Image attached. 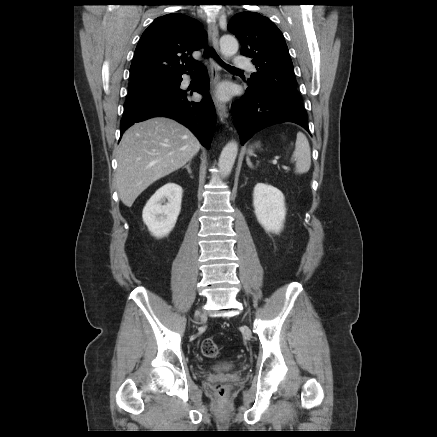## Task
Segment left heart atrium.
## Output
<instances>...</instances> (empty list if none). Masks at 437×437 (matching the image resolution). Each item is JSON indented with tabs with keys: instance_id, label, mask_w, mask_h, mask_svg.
Returning a JSON list of instances; mask_svg holds the SVG:
<instances>
[{
	"instance_id": "39dd6f15",
	"label": "left heart atrium",
	"mask_w": 437,
	"mask_h": 437,
	"mask_svg": "<svg viewBox=\"0 0 437 437\" xmlns=\"http://www.w3.org/2000/svg\"><path fill=\"white\" fill-rule=\"evenodd\" d=\"M219 96H220L221 98H226V97L228 96V91H227L225 88H221V89L219 90Z\"/></svg>"
}]
</instances>
